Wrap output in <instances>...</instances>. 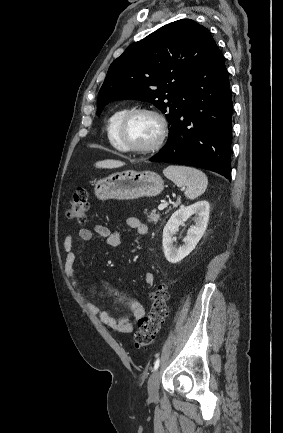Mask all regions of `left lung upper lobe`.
Here are the masks:
<instances>
[{"label": "left lung upper lobe", "instance_id": "obj_1", "mask_svg": "<svg viewBox=\"0 0 283 433\" xmlns=\"http://www.w3.org/2000/svg\"><path fill=\"white\" fill-rule=\"evenodd\" d=\"M215 45L208 30L191 19L167 24L131 44L108 70L97 115L109 102L136 99L167 112L173 123L188 107V88Z\"/></svg>", "mask_w": 283, "mask_h": 433}]
</instances>
